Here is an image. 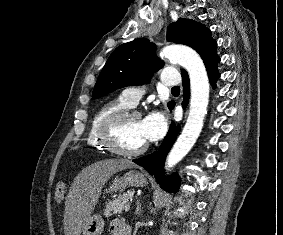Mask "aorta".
I'll use <instances>...</instances> for the list:
<instances>
[{
  "mask_svg": "<svg viewBox=\"0 0 283 235\" xmlns=\"http://www.w3.org/2000/svg\"><path fill=\"white\" fill-rule=\"evenodd\" d=\"M161 57L168 58L184 67L190 78L191 99L186 124L166 159L169 170L182 160L198 139L209 101V80L201 57L191 48L170 45L163 48Z\"/></svg>",
  "mask_w": 283,
  "mask_h": 235,
  "instance_id": "1",
  "label": "aorta"
}]
</instances>
